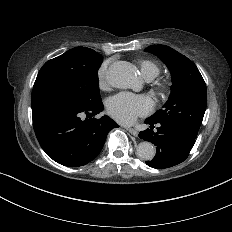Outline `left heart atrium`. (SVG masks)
Returning <instances> with one entry per match:
<instances>
[{
    "label": "left heart atrium",
    "mask_w": 232,
    "mask_h": 232,
    "mask_svg": "<svg viewBox=\"0 0 232 232\" xmlns=\"http://www.w3.org/2000/svg\"><path fill=\"white\" fill-rule=\"evenodd\" d=\"M107 110L118 122L129 125L139 116L148 114L151 106L144 96L120 93L109 100Z\"/></svg>",
    "instance_id": "left-heart-atrium-1"
}]
</instances>
